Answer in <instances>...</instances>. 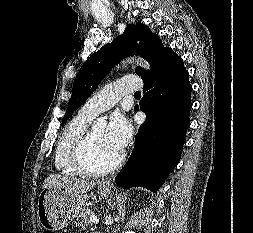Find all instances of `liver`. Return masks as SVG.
Segmentation results:
<instances>
[{"label":"liver","instance_id":"1","mask_svg":"<svg viewBox=\"0 0 253 233\" xmlns=\"http://www.w3.org/2000/svg\"><path fill=\"white\" fill-rule=\"evenodd\" d=\"M97 182H88L71 178L68 176H61L58 174H50L43 183L44 188H62L73 194H86L88 191L96 186Z\"/></svg>","mask_w":253,"mask_h":233}]
</instances>
